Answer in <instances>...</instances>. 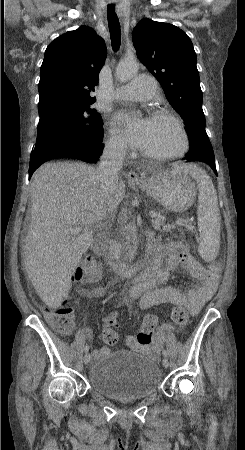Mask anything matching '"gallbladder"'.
<instances>
[{
	"mask_svg": "<svg viewBox=\"0 0 245 450\" xmlns=\"http://www.w3.org/2000/svg\"><path fill=\"white\" fill-rule=\"evenodd\" d=\"M94 251L96 254H99V252H100L98 249H95Z\"/></svg>",
	"mask_w": 245,
	"mask_h": 450,
	"instance_id": "1",
	"label": "gallbladder"
}]
</instances>
